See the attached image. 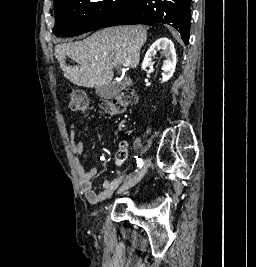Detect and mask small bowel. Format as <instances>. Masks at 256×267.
<instances>
[{"label":"small bowel","instance_id":"c3829d8e","mask_svg":"<svg viewBox=\"0 0 256 267\" xmlns=\"http://www.w3.org/2000/svg\"><path fill=\"white\" fill-rule=\"evenodd\" d=\"M77 135V126L72 125L70 129V148L72 153L74 154V166L78 175L79 184L81 191L85 195L86 199L91 204H99L105 200H107L112 192L119 186L122 181V176L115 178L113 180H106L103 183V190L100 192H96L93 187V178L97 174V170L95 168H91L90 170H86L82 164L81 157L84 152V145L81 140L76 138Z\"/></svg>","mask_w":256,"mask_h":267}]
</instances>
